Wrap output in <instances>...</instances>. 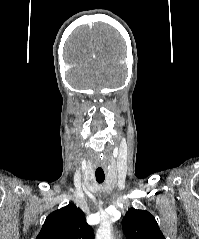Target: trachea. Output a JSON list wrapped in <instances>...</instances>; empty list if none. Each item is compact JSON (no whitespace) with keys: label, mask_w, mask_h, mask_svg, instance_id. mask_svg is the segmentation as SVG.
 <instances>
[{"label":"trachea","mask_w":199,"mask_h":239,"mask_svg":"<svg viewBox=\"0 0 199 239\" xmlns=\"http://www.w3.org/2000/svg\"><path fill=\"white\" fill-rule=\"evenodd\" d=\"M96 180L98 183H103L105 180V175L103 173H96Z\"/></svg>","instance_id":"1"}]
</instances>
